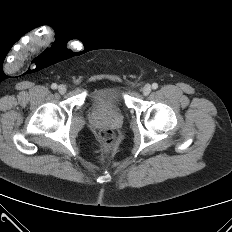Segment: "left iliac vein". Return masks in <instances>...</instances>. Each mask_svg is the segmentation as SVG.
Instances as JSON below:
<instances>
[{"mask_svg": "<svg viewBox=\"0 0 232 232\" xmlns=\"http://www.w3.org/2000/svg\"><path fill=\"white\" fill-rule=\"evenodd\" d=\"M151 90H152L151 85L146 84V85H144V87L142 88V93H143L144 95H149L150 92H151Z\"/></svg>", "mask_w": 232, "mask_h": 232, "instance_id": "4c4485c4", "label": "left iliac vein"}]
</instances>
